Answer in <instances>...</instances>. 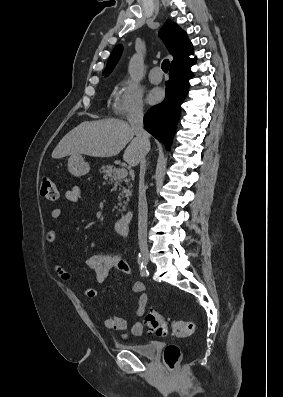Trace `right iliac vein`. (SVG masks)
<instances>
[{
    "label": "right iliac vein",
    "mask_w": 283,
    "mask_h": 397,
    "mask_svg": "<svg viewBox=\"0 0 283 397\" xmlns=\"http://www.w3.org/2000/svg\"><path fill=\"white\" fill-rule=\"evenodd\" d=\"M142 260H143V262H144L145 264L148 263L149 257H148V254H147V253H144V254L142 255Z\"/></svg>",
    "instance_id": "1"
}]
</instances>
